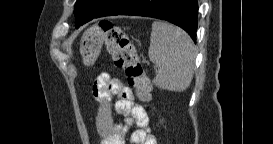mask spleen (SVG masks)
<instances>
[{
    "mask_svg": "<svg viewBox=\"0 0 273 144\" xmlns=\"http://www.w3.org/2000/svg\"><path fill=\"white\" fill-rule=\"evenodd\" d=\"M149 59L158 67L155 86L169 91L186 90L193 78L194 45L181 28L162 21L152 23Z\"/></svg>",
    "mask_w": 273,
    "mask_h": 144,
    "instance_id": "3e777b00",
    "label": "spleen"
}]
</instances>
